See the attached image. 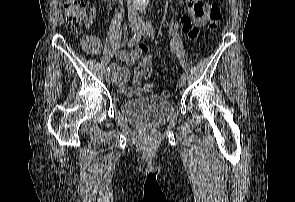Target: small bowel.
<instances>
[{
  "instance_id": "obj_1",
  "label": "small bowel",
  "mask_w": 295,
  "mask_h": 202,
  "mask_svg": "<svg viewBox=\"0 0 295 202\" xmlns=\"http://www.w3.org/2000/svg\"><path fill=\"white\" fill-rule=\"evenodd\" d=\"M110 0H97V3L91 7L89 11V18L85 20V26L92 25V19L95 18L100 10V6L109 2ZM188 15L182 16L180 19V28L186 32L189 37H196L198 29L205 25L208 20V12L210 4L202 0H186ZM85 50L91 54H99L101 44L98 37L89 35L83 39ZM147 49V45L143 44L133 48L131 51H117L116 58L123 61L126 66H120L116 63L112 64V70L117 78V84L121 93L127 97H139L143 93H150L152 90H142L141 82L143 79H150V74H142L140 71L134 72L131 86H127V81L130 77L128 66L132 65L139 59L142 52ZM142 62V61H141Z\"/></svg>"
}]
</instances>
